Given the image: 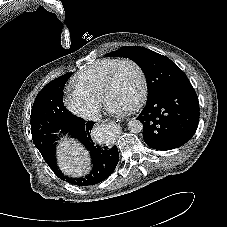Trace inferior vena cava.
<instances>
[{"instance_id": "inferior-vena-cava-1", "label": "inferior vena cava", "mask_w": 227, "mask_h": 227, "mask_svg": "<svg viewBox=\"0 0 227 227\" xmlns=\"http://www.w3.org/2000/svg\"><path fill=\"white\" fill-rule=\"evenodd\" d=\"M101 118V114L96 110L87 111L84 114V119L91 121H98Z\"/></svg>"}]
</instances>
